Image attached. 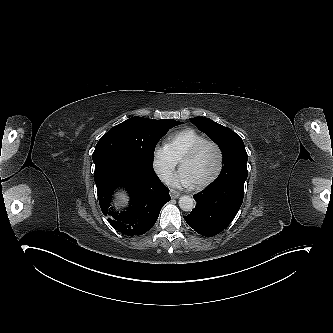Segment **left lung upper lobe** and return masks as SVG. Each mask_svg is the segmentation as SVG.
I'll return each instance as SVG.
<instances>
[{
  "mask_svg": "<svg viewBox=\"0 0 333 333\" xmlns=\"http://www.w3.org/2000/svg\"><path fill=\"white\" fill-rule=\"evenodd\" d=\"M198 129L215 141L224 157V168L216 180L222 183L244 184L247 179V153L241 137L230 128L205 117L191 119Z\"/></svg>",
  "mask_w": 333,
  "mask_h": 333,
  "instance_id": "left-lung-upper-lobe-1",
  "label": "left lung upper lobe"
}]
</instances>
